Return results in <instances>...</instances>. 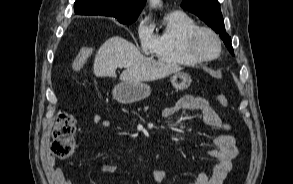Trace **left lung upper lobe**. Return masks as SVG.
Wrapping results in <instances>:
<instances>
[{
    "mask_svg": "<svg viewBox=\"0 0 293 184\" xmlns=\"http://www.w3.org/2000/svg\"><path fill=\"white\" fill-rule=\"evenodd\" d=\"M181 7L198 16L212 27L233 54L231 38L225 31L220 4L217 0H183Z\"/></svg>",
    "mask_w": 293,
    "mask_h": 184,
    "instance_id": "1",
    "label": "left lung upper lobe"
}]
</instances>
